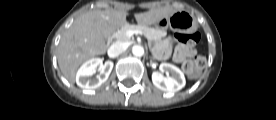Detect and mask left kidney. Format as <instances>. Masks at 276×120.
<instances>
[{
	"instance_id": "left-kidney-1",
	"label": "left kidney",
	"mask_w": 276,
	"mask_h": 120,
	"mask_svg": "<svg viewBox=\"0 0 276 120\" xmlns=\"http://www.w3.org/2000/svg\"><path fill=\"white\" fill-rule=\"evenodd\" d=\"M160 69L171 73V76L164 77L160 72H153L152 82L157 88L165 92L174 93L185 86L184 74L178 67L169 63H161Z\"/></svg>"
}]
</instances>
